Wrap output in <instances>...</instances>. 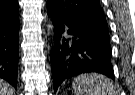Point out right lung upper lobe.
Wrapping results in <instances>:
<instances>
[{
    "instance_id": "cb5924a9",
    "label": "right lung upper lobe",
    "mask_w": 135,
    "mask_h": 95,
    "mask_svg": "<svg viewBox=\"0 0 135 95\" xmlns=\"http://www.w3.org/2000/svg\"><path fill=\"white\" fill-rule=\"evenodd\" d=\"M17 16H19L17 0H0V19L15 18Z\"/></svg>"
}]
</instances>
